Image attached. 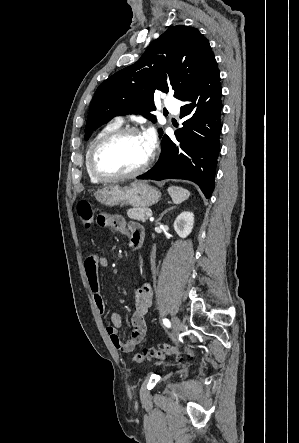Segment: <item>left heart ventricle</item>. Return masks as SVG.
<instances>
[{"label": "left heart ventricle", "mask_w": 299, "mask_h": 443, "mask_svg": "<svg viewBox=\"0 0 299 443\" xmlns=\"http://www.w3.org/2000/svg\"><path fill=\"white\" fill-rule=\"evenodd\" d=\"M149 153L143 135L128 134L105 145L97 156V165L108 174L125 173L141 166Z\"/></svg>", "instance_id": "b2bd125f"}]
</instances>
